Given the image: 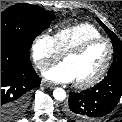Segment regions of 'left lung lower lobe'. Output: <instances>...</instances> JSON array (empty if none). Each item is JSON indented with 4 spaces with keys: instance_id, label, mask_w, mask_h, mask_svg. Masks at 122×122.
Returning a JSON list of instances; mask_svg holds the SVG:
<instances>
[{
    "instance_id": "0a47b994",
    "label": "left lung lower lobe",
    "mask_w": 122,
    "mask_h": 122,
    "mask_svg": "<svg viewBox=\"0 0 122 122\" xmlns=\"http://www.w3.org/2000/svg\"><path fill=\"white\" fill-rule=\"evenodd\" d=\"M122 96V69L109 72L99 84L82 93H69L64 114L77 121H88L110 113Z\"/></svg>"
}]
</instances>
